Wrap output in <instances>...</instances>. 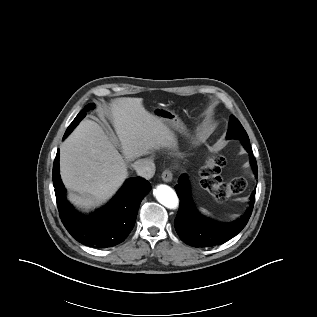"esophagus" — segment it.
Masks as SVG:
<instances>
[{"label": "esophagus", "mask_w": 317, "mask_h": 317, "mask_svg": "<svg viewBox=\"0 0 317 317\" xmlns=\"http://www.w3.org/2000/svg\"><path fill=\"white\" fill-rule=\"evenodd\" d=\"M161 177H162V180H163L164 182L169 183V182H171L172 179H173V174H172V172H171L170 170H165V171L162 173Z\"/></svg>", "instance_id": "1"}]
</instances>
